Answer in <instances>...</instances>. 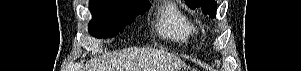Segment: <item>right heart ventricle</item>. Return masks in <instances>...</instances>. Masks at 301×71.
<instances>
[{
  "label": "right heart ventricle",
  "instance_id": "right-heart-ventricle-1",
  "mask_svg": "<svg viewBox=\"0 0 301 71\" xmlns=\"http://www.w3.org/2000/svg\"><path fill=\"white\" fill-rule=\"evenodd\" d=\"M156 29L163 38L178 44H187L197 34L191 19L175 4L165 6Z\"/></svg>",
  "mask_w": 301,
  "mask_h": 71
}]
</instances>
